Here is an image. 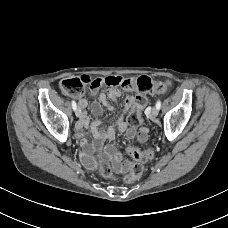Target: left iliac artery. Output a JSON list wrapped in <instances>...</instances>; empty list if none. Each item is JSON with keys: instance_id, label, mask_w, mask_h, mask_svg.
<instances>
[{"instance_id": "obj_1", "label": "left iliac artery", "mask_w": 228, "mask_h": 228, "mask_svg": "<svg viewBox=\"0 0 228 228\" xmlns=\"http://www.w3.org/2000/svg\"><path fill=\"white\" fill-rule=\"evenodd\" d=\"M156 107H157L158 109H160V108H161V101H160V100H158V101H157V103H156Z\"/></svg>"}]
</instances>
